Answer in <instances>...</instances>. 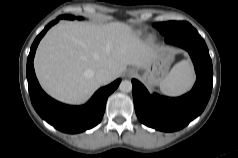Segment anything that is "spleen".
Wrapping results in <instances>:
<instances>
[{
  "mask_svg": "<svg viewBox=\"0 0 238 158\" xmlns=\"http://www.w3.org/2000/svg\"><path fill=\"white\" fill-rule=\"evenodd\" d=\"M195 76L189 61L183 60L173 66L159 84L162 93L168 96L180 95L192 86Z\"/></svg>",
  "mask_w": 238,
  "mask_h": 158,
  "instance_id": "3e777b00",
  "label": "spleen"
}]
</instances>
